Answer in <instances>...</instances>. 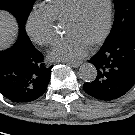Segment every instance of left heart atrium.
Returning a JSON list of instances; mask_svg holds the SVG:
<instances>
[{
  "label": "left heart atrium",
  "mask_w": 135,
  "mask_h": 135,
  "mask_svg": "<svg viewBox=\"0 0 135 135\" xmlns=\"http://www.w3.org/2000/svg\"><path fill=\"white\" fill-rule=\"evenodd\" d=\"M88 46L76 35H68L54 45L49 52V58L56 61L76 60L86 54Z\"/></svg>",
  "instance_id": "left-heart-atrium-1"
}]
</instances>
